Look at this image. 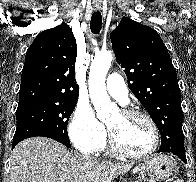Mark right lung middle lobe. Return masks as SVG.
I'll return each instance as SVG.
<instances>
[{"label":"right lung middle lobe","mask_w":196,"mask_h":182,"mask_svg":"<svg viewBox=\"0 0 196 182\" xmlns=\"http://www.w3.org/2000/svg\"><path fill=\"white\" fill-rule=\"evenodd\" d=\"M77 100L34 101L18 105L13 143L38 135H54L70 147L67 123Z\"/></svg>","instance_id":"1"}]
</instances>
